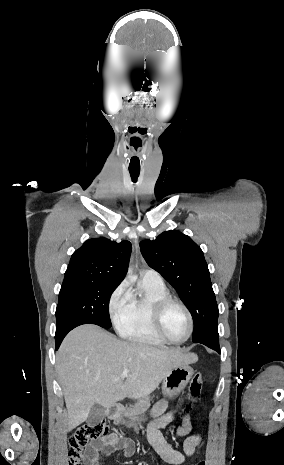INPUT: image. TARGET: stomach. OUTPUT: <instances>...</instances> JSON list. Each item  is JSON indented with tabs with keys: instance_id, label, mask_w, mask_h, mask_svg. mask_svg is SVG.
Masks as SVG:
<instances>
[{
	"instance_id": "obj_1",
	"label": "stomach",
	"mask_w": 284,
	"mask_h": 465,
	"mask_svg": "<svg viewBox=\"0 0 284 465\" xmlns=\"http://www.w3.org/2000/svg\"><path fill=\"white\" fill-rule=\"evenodd\" d=\"M194 371L192 367L189 365H180V367H176V369H172L169 371L168 375L164 377L162 383V393L164 397H168V399H175L180 395L181 391H184L185 387H187L190 379H192ZM117 423H121V425H126V427H133L136 421H142V419H130V421H124V419H116Z\"/></svg>"
}]
</instances>
